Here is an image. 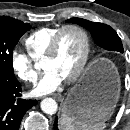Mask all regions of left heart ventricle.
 Listing matches in <instances>:
<instances>
[{
	"label": "left heart ventricle",
	"mask_w": 130,
	"mask_h": 130,
	"mask_svg": "<svg viewBox=\"0 0 130 130\" xmlns=\"http://www.w3.org/2000/svg\"><path fill=\"white\" fill-rule=\"evenodd\" d=\"M84 50L81 35L74 31H66L59 44L55 57L44 60V69L58 72L63 79L70 76L78 67Z\"/></svg>",
	"instance_id": "1"
}]
</instances>
